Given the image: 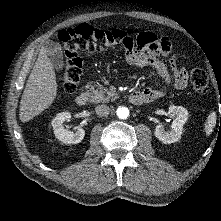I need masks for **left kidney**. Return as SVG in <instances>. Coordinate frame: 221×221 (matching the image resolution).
Segmentation results:
<instances>
[{"instance_id":"1","label":"left kidney","mask_w":221,"mask_h":221,"mask_svg":"<svg viewBox=\"0 0 221 221\" xmlns=\"http://www.w3.org/2000/svg\"><path fill=\"white\" fill-rule=\"evenodd\" d=\"M169 113L175 116L171 125L172 129L165 131L162 126L158 125L154 131L155 136L166 144L177 142L181 138L183 126L188 119V111L181 106H170Z\"/></svg>"}]
</instances>
